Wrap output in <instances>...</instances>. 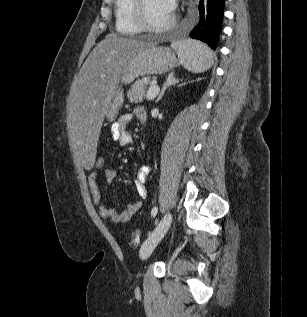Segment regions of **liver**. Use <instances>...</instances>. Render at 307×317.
I'll return each instance as SVG.
<instances>
[{
  "label": "liver",
  "mask_w": 307,
  "mask_h": 317,
  "mask_svg": "<svg viewBox=\"0 0 307 317\" xmlns=\"http://www.w3.org/2000/svg\"><path fill=\"white\" fill-rule=\"evenodd\" d=\"M149 46L154 43L109 34L80 69L68 103L67 126L70 144L80 154L82 171H95L96 140L126 61Z\"/></svg>",
  "instance_id": "1"
}]
</instances>
